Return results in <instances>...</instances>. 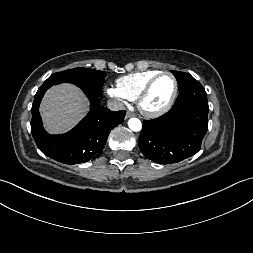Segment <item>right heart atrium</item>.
<instances>
[{
    "label": "right heart atrium",
    "instance_id": "right-heart-atrium-1",
    "mask_svg": "<svg viewBox=\"0 0 253 253\" xmlns=\"http://www.w3.org/2000/svg\"><path fill=\"white\" fill-rule=\"evenodd\" d=\"M106 93L109 97L114 98L115 100H117L119 103H125L126 102V98L118 91L117 88L115 87H108L106 89Z\"/></svg>",
    "mask_w": 253,
    "mask_h": 253
}]
</instances>
